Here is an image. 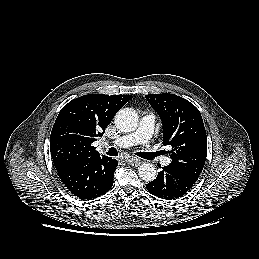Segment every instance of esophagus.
<instances>
[{
	"label": "esophagus",
	"mask_w": 259,
	"mask_h": 259,
	"mask_svg": "<svg viewBox=\"0 0 259 259\" xmlns=\"http://www.w3.org/2000/svg\"><path fill=\"white\" fill-rule=\"evenodd\" d=\"M127 162L133 166H138L141 164V161L136 157H129L127 159Z\"/></svg>",
	"instance_id": "obj_1"
}]
</instances>
